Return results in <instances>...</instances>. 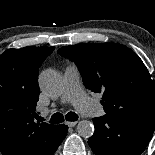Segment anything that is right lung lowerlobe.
I'll return each mask as SVG.
<instances>
[{
	"mask_svg": "<svg viewBox=\"0 0 155 155\" xmlns=\"http://www.w3.org/2000/svg\"><path fill=\"white\" fill-rule=\"evenodd\" d=\"M61 127H62V138H61V141H60V143L58 144V146L61 144V142L63 141V139L65 138V136L67 135V130H68V127L66 126V125H60ZM57 146V147H58ZM57 147H56V149H57ZM56 149L50 154V155H52L55 151H56Z\"/></svg>",
	"mask_w": 155,
	"mask_h": 155,
	"instance_id": "98d812e1",
	"label": "right lung lower lobe"
}]
</instances>
